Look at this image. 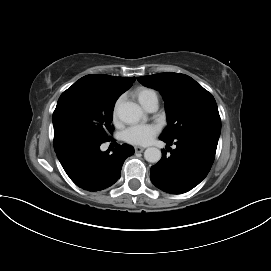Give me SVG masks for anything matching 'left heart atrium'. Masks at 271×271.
<instances>
[{
    "mask_svg": "<svg viewBox=\"0 0 271 271\" xmlns=\"http://www.w3.org/2000/svg\"><path fill=\"white\" fill-rule=\"evenodd\" d=\"M158 128L148 124H137L130 126L124 132V139L135 145H147L156 136Z\"/></svg>",
    "mask_w": 271,
    "mask_h": 271,
    "instance_id": "39dd6f15",
    "label": "left heart atrium"
}]
</instances>
